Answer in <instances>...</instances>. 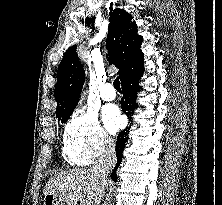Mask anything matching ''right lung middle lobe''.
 I'll list each match as a JSON object with an SVG mask.
<instances>
[{"label": "right lung middle lobe", "instance_id": "right-lung-middle-lobe-1", "mask_svg": "<svg viewBox=\"0 0 222 205\" xmlns=\"http://www.w3.org/2000/svg\"><path fill=\"white\" fill-rule=\"evenodd\" d=\"M67 119H68V118H64V119H58V120H59V121L61 120V121H62V123H63V122H66V121H67Z\"/></svg>", "mask_w": 222, "mask_h": 205}]
</instances>
